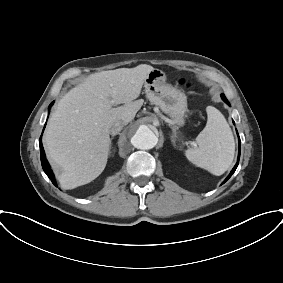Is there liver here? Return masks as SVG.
Listing matches in <instances>:
<instances>
[{"label": "liver", "mask_w": 283, "mask_h": 283, "mask_svg": "<svg viewBox=\"0 0 283 283\" xmlns=\"http://www.w3.org/2000/svg\"><path fill=\"white\" fill-rule=\"evenodd\" d=\"M153 69L141 64L91 74L60 99L49 118L44 145L63 189L85 185L103 172L110 127L134 119L143 105L136 99Z\"/></svg>", "instance_id": "1"}]
</instances>
